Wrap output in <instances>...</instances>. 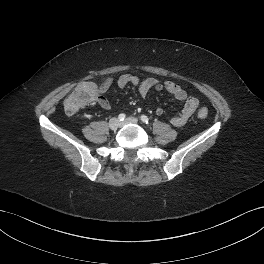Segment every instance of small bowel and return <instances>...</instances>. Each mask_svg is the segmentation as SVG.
Returning a JSON list of instances; mask_svg holds the SVG:
<instances>
[{"label": "small bowel", "mask_w": 264, "mask_h": 264, "mask_svg": "<svg viewBox=\"0 0 264 264\" xmlns=\"http://www.w3.org/2000/svg\"><path fill=\"white\" fill-rule=\"evenodd\" d=\"M114 82L120 88H125L129 85L135 86L142 96H146L151 90L167 91L173 95L176 100L183 102V108L181 112L171 118V124L175 127L183 126L199 106L198 99L189 96L180 85L173 81H161L160 79L153 77H140L131 74H123L120 75L115 81L112 78L102 79L101 84L98 87V95L95 101L105 110L110 109V103L104 94ZM156 114L162 115L163 109L157 108Z\"/></svg>", "instance_id": "c3829d8e"}]
</instances>
